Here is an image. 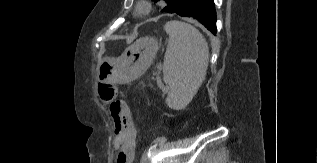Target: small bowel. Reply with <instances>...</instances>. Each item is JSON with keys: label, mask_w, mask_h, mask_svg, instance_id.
Here are the masks:
<instances>
[{"label": "small bowel", "mask_w": 317, "mask_h": 163, "mask_svg": "<svg viewBox=\"0 0 317 163\" xmlns=\"http://www.w3.org/2000/svg\"><path fill=\"white\" fill-rule=\"evenodd\" d=\"M112 116V122L116 134V144L120 147L117 153V163H130L136 144V131L130 113L123 103V113Z\"/></svg>", "instance_id": "c3829d8e"}]
</instances>
